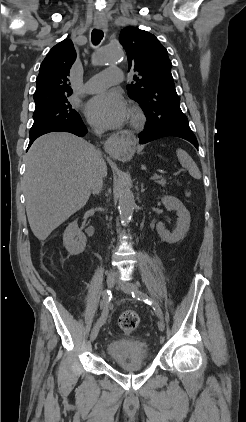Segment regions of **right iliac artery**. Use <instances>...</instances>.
<instances>
[{
  "label": "right iliac artery",
  "mask_w": 246,
  "mask_h": 422,
  "mask_svg": "<svg viewBox=\"0 0 246 422\" xmlns=\"http://www.w3.org/2000/svg\"><path fill=\"white\" fill-rule=\"evenodd\" d=\"M111 298H112L111 291L110 290L104 291L103 300H102L103 312L95 325H99L101 327L105 323L108 316L109 303H110Z\"/></svg>",
  "instance_id": "82829eb1"
}]
</instances>
